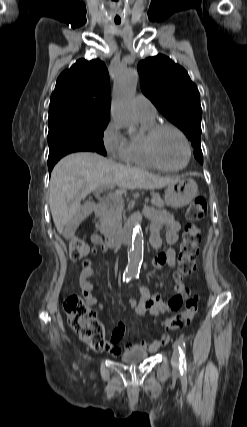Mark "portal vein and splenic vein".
<instances>
[{"instance_id": "1", "label": "portal vein and splenic vein", "mask_w": 247, "mask_h": 427, "mask_svg": "<svg viewBox=\"0 0 247 427\" xmlns=\"http://www.w3.org/2000/svg\"><path fill=\"white\" fill-rule=\"evenodd\" d=\"M108 197L111 199V200H113V201H120V202H123V199H122V196H121V194L119 193V192H116L115 194H111V193H109L108 194ZM149 201V198L147 197V198H145V202H148Z\"/></svg>"}]
</instances>
